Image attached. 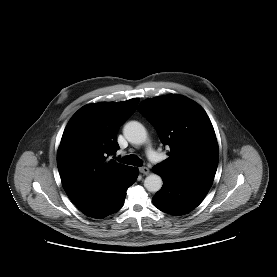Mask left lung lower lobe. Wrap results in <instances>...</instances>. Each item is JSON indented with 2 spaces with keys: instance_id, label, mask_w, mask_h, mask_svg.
Instances as JSON below:
<instances>
[{
  "instance_id": "obj_1",
  "label": "left lung lower lobe",
  "mask_w": 277,
  "mask_h": 277,
  "mask_svg": "<svg viewBox=\"0 0 277 277\" xmlns=\"http://www.w3.org/2000/svg\"><path fill=\"white\" fill-rule=\"evenodd\" d=\"M153 171L162 177L164 184L153 197V204L173 215H182L196 208L212 185L203 181L177 178L161 172L156 166L153 167Z\"/></svg>"
}]
</instances>
